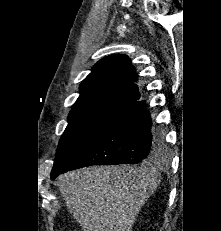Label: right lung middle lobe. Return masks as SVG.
<instances>
[{
  "mask_svg": "<svg viewBox=\"0 0 221 231\" xmlns=\"http://www.w3.org/2000/svg\"><path fill=\"white\" fill-rule=\"evenodd\" d=\"M127 99L99 97L73 105L68 126L61 137L53 170L67 164L118 112L130 105Z\"/></svg>",
  "mask_w": 221,
  "mask_h": 231,
  "instance_id": "1",
  "label": "right lung middle lobe"
}]
</instances>
